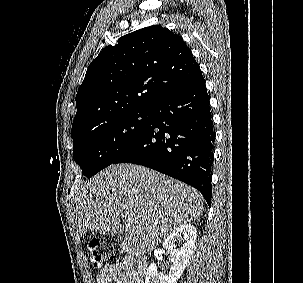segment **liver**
Returning <instances> with one entry per match:
<instances>
[{
  "instance_id": "6515ba94",
  "label": "liver",
  "mask_w": 303,
  "mask_h": 283,
  "mask_svg": "<svg viewBox=\"0 0 303 283\" xmlns=\"http://www.w3.org/2000/svg\"><path fill=\"white\" fill-rule=\"evenodd\" d=\"M77 235L88 230L114 235L130 218L126 241L135 252H150L170 233L196 220L203 197L191 186L133 164L111 165L76 192Z\"/></svg>"
}]
</instances>
